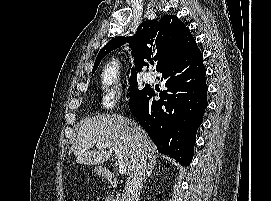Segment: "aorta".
Returning a JSON list of instances; mask_svg holds the SVG:
<instances>
[{
	"mask_svg": "<svg viewBox=\"0 0 271 201\" xmlns=\"http://www.w3.org/2000/svg\"><path fill=\"white\" fill-rule=\"evenodd\" d=\"M118 68H119L118 61H112V63L106 68V72H105L106 76L109 79H112L113 77L116 76V73L118 72Z\"/></svg>",
	"mask_w": 271,
	"mask_h": 201,
	"instance_id": "obj_1",
	"label": "aorta"
}]
</instances>
